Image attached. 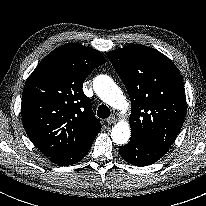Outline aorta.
<instances>
[{
    "mask_svg": "<svg viewBox=\"0 0 206 206\" xmlns=\"http://www.w3.org/2000/svg\"><path fill=\"white\" fill-rule=\"evenodd\" d=\"M94 90L100 99L118 110H126L129 106L126 97L116 83L107 75H99L95 78ZM131 130L127 121L118 122L111 131L114 143L124 145L130 138Z\"/></svg>",
    "mask_w": 206,
    "mask_h": 206,
    "instance_id": "1",
    "label": "aorta"
}]
</instances>
